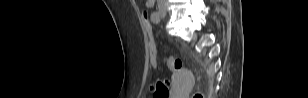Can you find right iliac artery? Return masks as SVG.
Masks as SVG:
<instances>
[{
  "label": "right iliac artery",
  "mask_w": 308,
  "mask_h": 98,
  "mask_svg": "<svg viewBox=\"0 0 308 98\" xmlns=\"http://www.w3.org/2000/svg\"><path fill=\"white\" fill-rule=\"evenodd\" d=\"M151 20L153 23L158 24L161 20V15L158 12H153L151 14Z\"/></svg>",
  "instance_id": "right-iliac-artery-1"
}]
</instances>
